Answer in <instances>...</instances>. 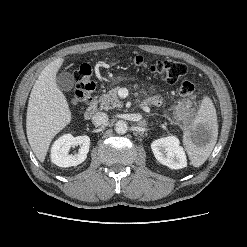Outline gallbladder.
<instances>
[{"instance_id": "gallbladder-1", "label": "gallbladder", "mask_w": 247, "mask_h": 247, "mask_svg": "<svg viewBox=\"0 0 247 247\" xmlns=\"http://www.w3.org/2000/svg\"><path fill=\"white\" fill-rule=\"evenodd\" d=\"M56 84L60 90L69 92L74 87V77L69 72H62L56 77Z\"/></svg>"}]
</instances>
